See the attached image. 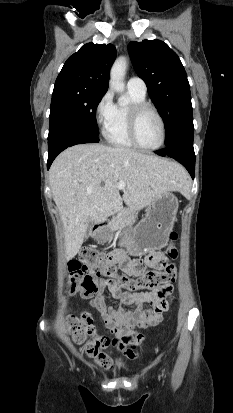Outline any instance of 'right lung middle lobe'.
Wrapping results in <instances>:
<instances>
[{"instance_id":"1","label":"right lung middle lobe","mask_w":233,"mask_h":413,"mask_svg":"<svg viewBox=\"0 0 233 413\" xmlns=\"http://www.w3.org/2000/svg\"><path fill=\"white\" fill-rule=\"evenodd\" d=\"M104 92L75 86L54 87L49 135L61 129L99 135L96 108Z\"/></svg>"}]
</instances>
